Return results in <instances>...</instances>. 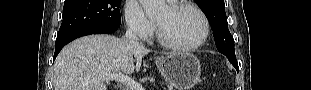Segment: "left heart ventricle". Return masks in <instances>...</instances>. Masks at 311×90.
Listing matches in <instances>:
<instances>
[{
  "mask_svg": "<svg viewBox=\"0 0 311 90\" xmlns=\"http://www.w3.org/2000/svg\"><path fill=\"white\" fill-rule=\"evenodd\" d=\"M163 35L177 45H191L203 34V22L196 12L181 8L175 12L166 7L156 18Z\"/></svg>",
  "mask_w": 311,
  "mask_h": 90,
  "instance_id": "b2bd125f",
  "label": "left heart ventricle"
}]
</instances>
